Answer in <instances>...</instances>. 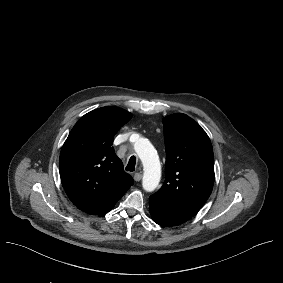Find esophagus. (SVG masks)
Listing matches in <instances>:
<instances>
[{
	"mask_svg": "<svg viewBox=\"0 0 283 283\" xmlns=\"http://www.w3.org/2000/svg\"><path fill=\"white\" fill-rule=\"evenodd\" d=\"M133 178L136 182H139L142 179V174L137 172L134 174Z\"/></svg>",
	"mask_w": 283,
	"mask_h": 283,
	"instance_id": "34e87169",
	"label": "esophagus"
}]
</instances>
